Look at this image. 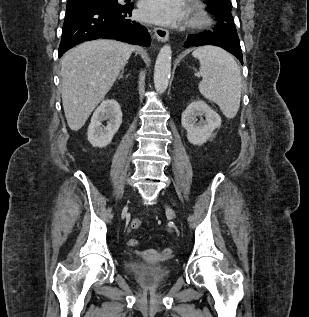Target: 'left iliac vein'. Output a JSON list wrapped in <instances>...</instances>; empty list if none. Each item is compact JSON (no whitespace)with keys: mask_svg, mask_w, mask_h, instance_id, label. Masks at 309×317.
I'll return each mask as SVG.
<instances>
[{"mask_svg":"<svg viewBox=\"0 0 309 317\" xmlns=\"http://www.w3.org/2000/svg\"><path fill=\"white\" fill-rule=\"evenodd\" d=\"M166 212L168 215H170L173 219L176 218V213L175 211L170 207V206H166Z\"/></svg>","mask_w":309,"mask_h":317,"instance_id":"4c4485c4","label":"left iliac vein"}]
</instances>
